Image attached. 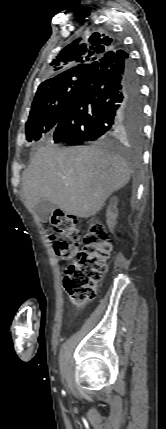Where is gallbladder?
<instances>
[{
  "instance_id": "obj_1",
  "label": "gallbladder",
  "mask_w": 166,
  "mask_h": 429,
  "mask_svg": "<svg viewBox=\"0 0 166 429\" xmlns=\"http://www.w3.org/2000/svg\"><path fill=\"white\" fill-rule=\"evenodd\" d=\"M55 209L56 205L48 200H41L34 207L36 215L43 223L49 221L51 214L54 212Z\"/></svg>"
}]
</instances>
